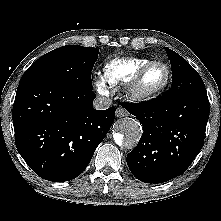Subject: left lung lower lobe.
Here are the masks:
<instances>
[{"label": "left lung lower lobe", "instance_id": "obj_1", "mask_svg": "<svg viewBox=\"0 0 221 221\" xmlns=\"http://www.w3.org/2000/svg\"><path fill=\"white\" fill-rule=\"evenodd\" d=\"M143 125V135L127 155L132 174L145 183H163L181 175L204 144L209 118L206 92L171 101L165 97L122 103Z\"/></svg>", "mask_w": 221, "mask_h": 221}]
</instances>
